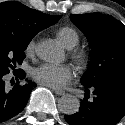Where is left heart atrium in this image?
<instances>
[{"mask_svg": "<svg viewBox=\"0 0 125 125\" xmlns=\"http://www.w3.org/2000/svg\"><path fill=\"white\" fill-rule=\"evenodd\" d=\"M74 76V69L69 64L44 63L32 71L37 82L52 88L63 87Z\"/></svg>", "mask_w": 125, "mask_h": 125, "instance_id": "1", "label": "left heart atrium"}]
</instances>
